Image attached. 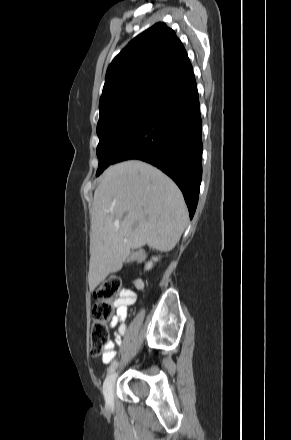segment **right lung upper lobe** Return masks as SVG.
I'll return each instance as SVG.
<instances>
[{"label":"right lung upper lobe","instance_id":"right-lung-upper-lobe-1","mask_svg":"<svg viewBox=\"0 0 291 440\" xmlns=\"http://www.w3.org/2000/svg\"><path fill=\"white\" fill-rule=\"evenodd\" d=\"M191 73L187 52L175 32L164 23H156L113 59L99 107L138 96L156 97Z\"/></svg>","mask_w":291,"mask_h":440}]
</instances>
